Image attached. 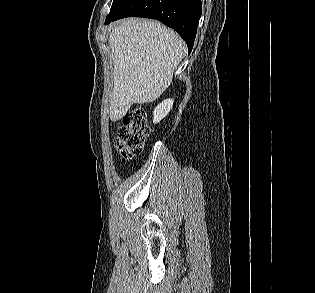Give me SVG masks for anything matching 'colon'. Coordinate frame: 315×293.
I'll list each match as a JSON object with an SVG mask.
<instances>
[{"label":"colon","instance_id":"obj_1","mask_svg":"<svg viewBox=\"0 0 315 293\" xmlns=\"http://www.w3.org/2000/svg\"><path fill=\"white\" fill-rule=\"evenodd\" d=\"M150 133L143 109L129 111L123 118V125L118 129L114 139L117 153L125 159L139 155Z\"/></svg>","mask_w":315,"mask_h":293}]
</instances>
